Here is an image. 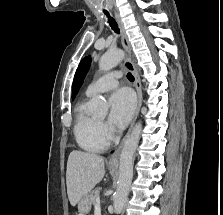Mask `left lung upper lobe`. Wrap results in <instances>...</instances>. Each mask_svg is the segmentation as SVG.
<instances>
[{"label":"left lung upper lobe","mask_w":223,"mask_h":215,"mask_svg":"<svg viewBox=\"0 0 223 215\" xmlns=\"http://www.w3.org/2000/svg\"><path fill=\"white\" fill-rule=\"evenodd\" d=\"M90 62H91V57L90 56L85 57L84 59H82V61L80 62L79 66L76 70L74 81H73V91H72L73 99L76 96V94L78 93L79 88L83 84V80L87 74L89 67H90Z\"/></svg>","instance_id":"obj_1"}]
</instances>
